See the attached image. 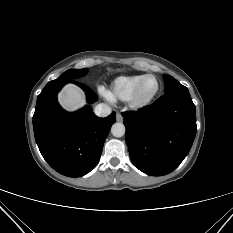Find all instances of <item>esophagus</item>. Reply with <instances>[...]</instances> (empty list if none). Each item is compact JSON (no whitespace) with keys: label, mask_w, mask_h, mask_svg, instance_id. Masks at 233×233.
Here are the masks:
<instances>
[{"label":"esophagus","mask_w":233,"mask_h":233,"mask_svg":"<svg viewBox=\"0 0 233 233\" xmlns=\"http://www.w3.org/2000/svg\"><path fill=\"white\" fill-rule=\"evenodd\" d=\"M116 121H118V122H122L123 121V117H122V115L120 113L116 114Z\"/></svg>","instance_id":"obj_1"}]
</instances>
